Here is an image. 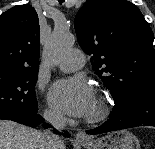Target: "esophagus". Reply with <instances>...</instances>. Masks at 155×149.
<instances>
[{
	"label": "esophagus",
	"mask_w": 155,
	"mask_h": 149,
	"mask_svg": "<svg viewBox=\"0 0 155 149\" xmlns=\"http://www.w3.org/2000/svg\"><path fill=\"white\" fill-rule=\"evenodd\" d=\"M75 139L79 142H83V141H88L89 138L87 137V135L84 132H78L75 135Z\"/></svg>",
	"instance_id": "obj_1"
}]
</instances>
